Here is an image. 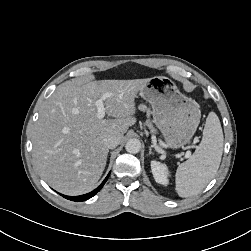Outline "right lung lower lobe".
I'll use <instances>...</instances> for the list:
<instances>
[{
  "mask_svg": "<svg viewBox=\"0 0 251 251\" xmlns=\"http://www.w3.org/2000/svg\"><path fill=\"white\" fill-rule=\"evenodd\" d=\"M110 174L107 175V177L104 179V181L102 182V184L95 189L94 191L81 195V196H66V195H62L64 198L72 200V201H85L88 200L89 198L93 197L97 192H99L101 190V188L103 187V185L105 184V182L107 181L108 177Z\"/></svg>",
  "mask_w": 251,
  "mask_h": 251,
  "instance_id": "98d812e1",
  "label": "right lung lower lobe"
}]
</instances>
